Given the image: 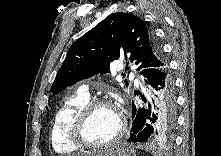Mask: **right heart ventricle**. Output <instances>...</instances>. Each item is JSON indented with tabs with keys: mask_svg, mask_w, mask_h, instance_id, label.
<instances>
[{
	"mask_svg": "<svg viewBox=\"0 0 221 156\" xmlns=\"http://www.w3.org/2000/svg\"><path fill=\"white\" fill-rule=\"evenodd\" d=\"M89 101V95L77 92L69 96L55 114L51 128V144L55 152L70 154L79 148L69 139V125L76 112Z\"/></svg>",
	"mask_w": 221,
	"mask_h": 156,
	"instance_id": "obj_1",
	"label": "right heart ventricle"
}]
</instances>
